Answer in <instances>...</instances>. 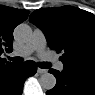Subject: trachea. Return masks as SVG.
<instances>
[{"mask_svg": "<svg viewBox=\"0 0 95 95\" xmlns=\"http://www.w3.org/2000/svg\"><path fill=\"white\" fill-rule=\"evenodd\" d=\"M9 60L16 62V63L23 62V59L21 57H9ZM38 66L42 69H48L50 68L51 64L48 62H40L38 63Z\"/></svg>", "mask_w": 95, "mask_h": 95, "instance_id": "3493384b", "label": "trachea"}]
</instances>
